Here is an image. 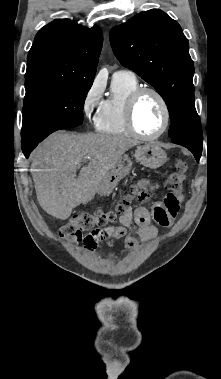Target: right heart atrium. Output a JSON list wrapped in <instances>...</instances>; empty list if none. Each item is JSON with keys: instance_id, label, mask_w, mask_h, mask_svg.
Wrapping results in <instances>:
<instances>
[{"instance_id": "right-heart-atrium-1", "label": "right heart atrium", "mask_w": 221, "mask_h": 379, "mask_svg": "<svg viewBox=\"0 0 221 379\" xmlns=\"http://www.w3.org/2000/svg\"><path fill=\"white\" fill-rule=\"evenodd\" d=\"M104 103V86L101 81L94 80L87 88L83 100L82 111L91 119L96 118Z\"/></svg>"}]
</instances>
